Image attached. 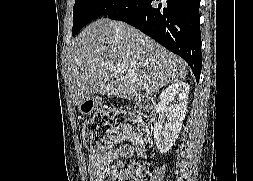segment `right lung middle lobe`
<instances>
[{
	"label": "right lung middle lobe",
	"mask_w": 253,
	"mask_h": 181,
	"mask_svg": "<svg viewBox=\"0 0 253 181\" xmlns=\"http://www.w3.org/2000/svg\"><path fill=\"white\" fill-rule=\"evenodd\" d=\"M128 0H75L73 7V35L99 16L119 10Z\"/></svg>",
	"instance_id": "obj_1"
}]
</instances>
